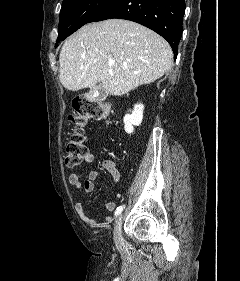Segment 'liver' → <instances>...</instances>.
Instances as JSON below:
<instances>
[{
  "label": "liver",
  "instance_id": "6515ba94",
  "mask_svg": "<svg viewBox=\"0 0 240 281\" xmlns=\"http://www.w3.org/2000/svg\"><path fill=\"white\" fill-rule=\"evenodd\" d=\"M172 62L171 47L160 35L133 21L109 19L83 26L64 42L59 78L70 91L101 82L121 96L161 78Z\"/></svg>",
  "mask_w": 240,
  "mask_h": 281
}]
</instances>
